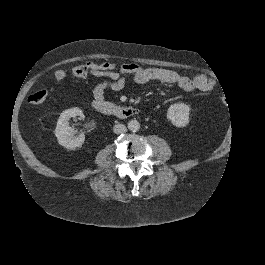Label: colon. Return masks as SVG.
I'll return each instance as SVG.
<instances>
[{
  "label": "colon",
  "mask_w": 265,
  "mask_h": 265,
  "mask_svg": "<svg viewBox=\"0 0 265 265\" xmlns=\"http://www.w3.org/2000/svg\"><path fill=\"white\" fill-rule=\"evenodd\" d=\"M73 74L76 77H85L88 73V67L87 65H79L73 68ZM66 72L64 70H57L54 74L55 78L57 80H63L66 78ZM47 98V91L46 90H38L33 92L32 94L29 95L28 101L32 104H39L45 101Z\"/></svg>",
  "instance_id": "obj_1"
}]
</instances>
